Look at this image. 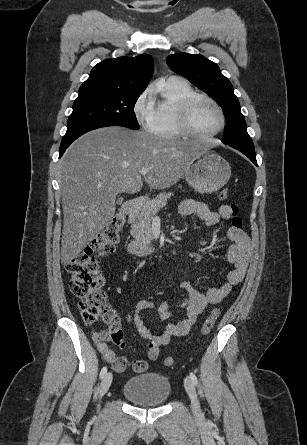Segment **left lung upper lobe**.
<instances>
[{"instance_id":"1","label":"left lung upper lobe","mask_w":307,"mask_h":445,"mask_svg":"<svg viewBox=\"0 0 307 445\" xmlns=\"http://www.w3.org/2000/svg\"><path fill=\"white\" fill-rule=\"evenodd\" d=\"M166 62L173 71L182 74L221 106L226 120L223 143L254 146L247 133L238 98L230 81L221 74L217 64L200 54L188 53L169 55Z\"/></svg>"}]
</instances>
